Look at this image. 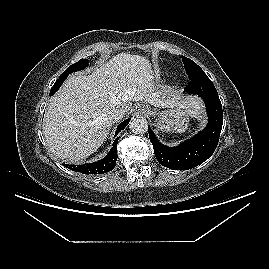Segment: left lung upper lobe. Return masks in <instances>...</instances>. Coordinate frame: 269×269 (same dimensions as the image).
<instances>
[{"instance_id": "obj_1", "label": "left lung upper lobe", "mask_w": 269, "mask_h": 269, "mask_svg": "<svg viewBox=\"0 0 269 269\" xmlns=\"http://www.w3.org/2000/svg\"><path fill=\"white\" fill-rule=\"evenodd\" d=\"M182 61L190 81L207 76L204 71L191 59L182 56Z\"/></svg>"}]
</instances>
